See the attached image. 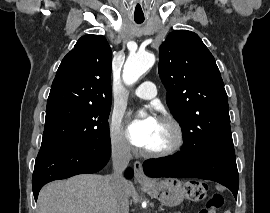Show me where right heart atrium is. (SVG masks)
<instances>
[{"instance_id": "obj_1", "label": "right heart atrium", "mask_w": 270, "mask_h": 213, "mask_svg": "<svg viewBox=\"0 0 270 213\" xmlns=\"http://www.w3.org/2000/svg\"><path fill=\"white\" fill-rule=\"evenodd\" d=\"M109 143L114 154L120 157H128L131 153V148L125 140L121 126V118L115 114L112 116L109 125Z\"/></svg>"}]
</instances>
